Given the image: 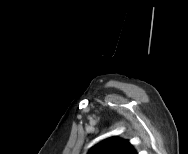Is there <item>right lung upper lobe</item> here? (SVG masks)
I'll list each match as a JSON object with an SVG mask.
<instances>
[{
	"label": "right lung upper lobe",
	"instance_id": "1",
	"mask_svg": "<svg viewBox=\"0 0 188 154\" xmlns=\"http://www.w3.org/2000/svg\"><path fill=\"white\" fill-rule=\"evenodd\" d=\"M88 154H136V152L128 141L111 137L95 145Z\"/></svg>",
	"mask_w": 188,
	"mask_h": 154
}]
</instances>
